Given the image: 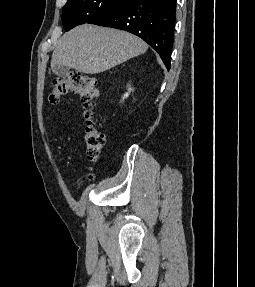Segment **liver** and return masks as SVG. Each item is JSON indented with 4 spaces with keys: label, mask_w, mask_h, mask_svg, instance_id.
<instances>
[{
    "label": "liver",
    "mask_w": 255,
    "mask_h": 287,
    "mask_svg": "<svg viewBox=\"0 0 255 287\" xmlns=\"http://www.w3.org/2000/svg\"><path fill=\"white\" fill-rule=\"evenodd\" d=\"M147 48L143 40L128 32L83 24L58 40L51 68L66 66L83 74H99L145 54Z\"/></svg>",
    "instance_id": "obj_1"
}]
</instances>
